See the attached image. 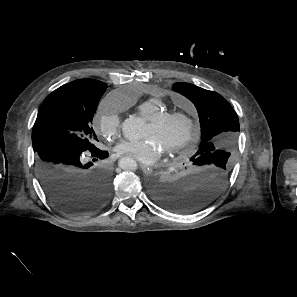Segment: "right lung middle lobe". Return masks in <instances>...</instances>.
<instances>
[{
    "label": "right lung middle lobe",
    "instance_id": "obj_1",
    "mask_svg": "<svg viewBox=\"0 0 297 297\" xmlns=\"http://www.w3.org/2000/svg\"><path fill=\"white\" fill-rule=\"evenodd\" d=\"M103 89H67L48 96L41 105L33 126L34 151L48 145H66L78 151H94L97 140L91 127Z\"/></svg>",
    "mask_w": 297,
    "mask_h": 297
}]
</instances>
